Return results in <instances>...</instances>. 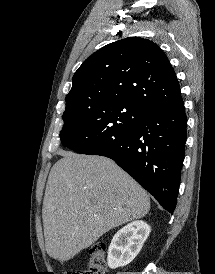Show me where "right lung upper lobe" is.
I'll list each match as a JSON object with an SVG mask.
<instances>
[{"instance_id":"right-lung-upper-lobe-1","label":"right lung upper lobe","mask_w":215,"mask_h":274,"mask_svg":"<svg viewBox=\"0 0 215 274\" xmlns=\"http://www.w3.org/2000/svg\"><path fill=\"white\" fill-rule=\"evenodd\" d=\"M66 102L121 101L143 110L182 101L176 74L153 42L129 37L88 57L75 72Z\"/></svg>"}]
</instances>
